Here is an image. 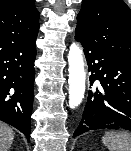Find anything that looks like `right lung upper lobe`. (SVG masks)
Here are the masks:
<instances>
[{
    "mask_svg": "<svg viewBox=\"0 0 131 151\" xmlns=\"http://www.w3.org/2000/svg\"><path fill=\"white\" fill-rule=\"evenodd\" d=\"M35 0H0V42L37 36L39 12Z\"/></svg>",
    "mask_w": 131,
    "mask_h": 151,
    "instance_id": "1",
    "label": "right lung upper lobe"
}]
</instances>
